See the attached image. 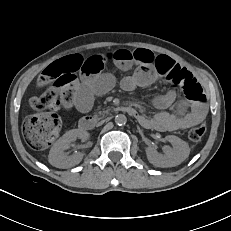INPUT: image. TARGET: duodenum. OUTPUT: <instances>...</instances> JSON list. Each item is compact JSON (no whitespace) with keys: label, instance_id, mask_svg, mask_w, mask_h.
Masks as SVG:
<instances>
[{"label":"duodenum","instance_id":"obj_1","mask_svg":"<svg viewBox=\"0 0 231 231\" xmlns=\"http://www.w3.org/2000/svg\"><path fill=\"white\" fill-rule=\"evenodd\" d=\"M122 112H125L129 114L131 117L135 119H141V116L138 114V112L130 107V106H122L120 109ZM95 124V120L91 116H84L79 121V129L82 131L90 130Z\"/></svg>","mask_w":231,"mask_h":231}]
</instances>
